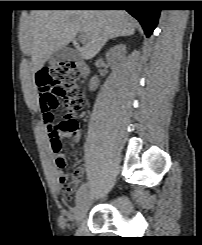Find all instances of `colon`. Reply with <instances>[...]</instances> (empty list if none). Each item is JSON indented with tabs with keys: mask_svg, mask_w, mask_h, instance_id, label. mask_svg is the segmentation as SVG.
Returning a JSON list of instances; mask_svg holds the SVG:
<instances>
[{
	"mask_svg": "<svg viewBox=\"0 0 202 245\" xmlns=\"http://www.w3.org/2000/svg\"><path fill=\"white\" fill-rule=\"evenodd\" d=\"M36 83L38 86L39 110L47 127H52L55 116L51 96L56 94L63 100L68 110V116L63 124V129L71 131L76 127L75 115L85 106L83 91L79 85L80 71L74 61H61L50 67L37 71ZM48 137L53 148H62L61 136L55 129H48Z\"/></svg>",
	"mask_w": 202,
	"mask_h": 245,
	"instance_id": "5ec220e1",
	"label": "colon"
}]
</instances>
